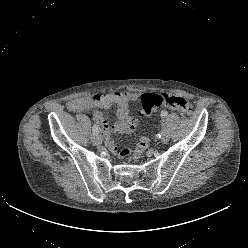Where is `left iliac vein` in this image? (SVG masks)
<instances>
[{"instance_id": "1", "label": "left iliac vein", "mask_w": 248, "mask_h": 248, "mask_svg": "<svg viewBox=\"0 0 248 248\" xmlns=\"http://www.w3.org/2000/svg\"><path fill=\"white\" fill-rule=\"evenodd\" d=\"M169 141V134L168 132L164 129V133L161 137V142L162 143H167Z\"/></svg>"}]
</instances>
